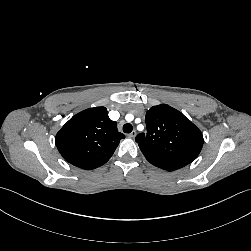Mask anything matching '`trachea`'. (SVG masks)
I'll return each instance as SVG.
<instances>
[{
	"mask_svg": "<svg viewBox=\"0 0 251 251\" xmlns=\"http://www.w3.org/2000/svg\"><path fill=\"white\" fill-rule=\"evenodd\" d=\"M133 127L130 123H126L124 126H123V132L124 133H130L132 131Z\"/></svg>",
	"mask_w": 251,
	"mask_h": 251,
	"instance_id": "1",
	"label": "trachea"
}]
</instances>
